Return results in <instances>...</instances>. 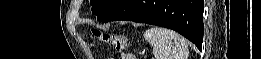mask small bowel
Returning <instances> with one entry per match:
<instances>
[{"label":"small bowel","mask_w":261,"mask_h":59,"mask_svg":"<svg viewBox=\"0 0 261 59\" xmlns=\"http://www.w3.org/2000/svg\"><path fill=\"white\" fill-rule=\"evenodd\" d=\"M126 56V55H125ZM129 58H123V59H130V58H132V57H130V56H128Z\"/></svg>","instance_id":"small-bowel-1"}]
</instances>
